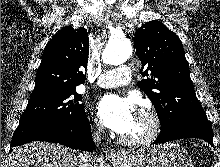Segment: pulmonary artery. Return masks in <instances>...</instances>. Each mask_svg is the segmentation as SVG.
<instances>
[{"label": "pulmonary artery", "mask_w": 220, "mask_h": 167, "mask_svg": "<svg viewBox=\"0 0 220 167\" xmlns=\"http://www.w3.org/2000/svg\"><path fill=\"white\" fill-rule=\"evenodd\" d=\"M131 70L123 65L116 69L103 72L97 78V85L104 88L126 86L130 82Z\"/></svg>", "instance_id": "e3ab8cb5"}]
</instances>
